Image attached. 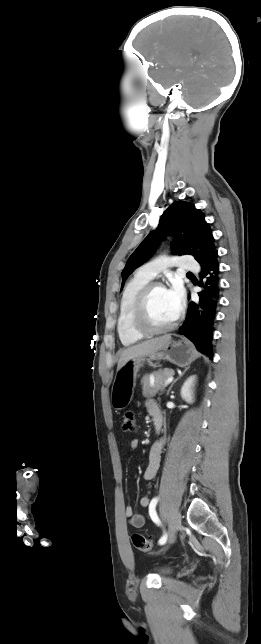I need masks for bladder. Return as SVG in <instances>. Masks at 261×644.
Returning a JSON list of instances; mask_svg holds the SVG:
<instances>
[{"mask_svg":"<svg viewBox=\"0 0 261 644\" xmlns=\"http://www.w3.org/2000/svg\"><path fill=\"white\" fill-rule=\"evenodd\" d=\"M172 572V569L170 567H163L160 570L161 575H168Z\"/></svg>","mask_w":261,"mask_h":644,"instance_id":"1","label":"bladder"}]
</instances>
